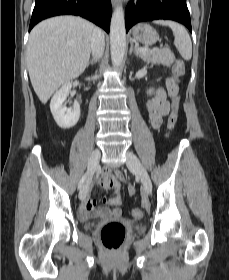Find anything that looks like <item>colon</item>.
I'll return each mask as SVG.
<instances>
[{
	"label": "colon",
	"instance_id": "1",
	"mask_svg": "<svg viewBox=\"0 0 229 280\" xmlns=\"http://www.w3.org/2000/svg\"><path fill=\"white\" fill-rule=\"evenodd\" d=\"M174 76L167 79V88L172 98V109L168 117L167 128L169 131L175 129L179 118L180 98L178 96V83L177 77L181 76L184 72L182 64L179 62L173 68ZM120 177L115 175H107L104 177L102 184L106 188L112 187L113 184L119 183ZM135 217H142L143 211L136 208L133 211ZM125 228L119 222H110L103 226L100 232V238L103 245L109 250H117L122 245L125 239Z\"/></svg>",
	"mask_w": 229,
	"mask_h": 280
}]
</instances>
